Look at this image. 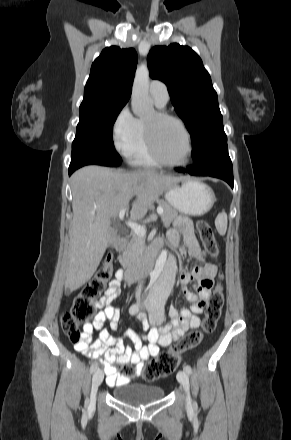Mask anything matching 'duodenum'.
Wrapping results in <instances>:
<instances>
[{
  "label": "duodenum",
  "mask_w": 291,
  "mask_h": 440,
  "mask_svg": "<svg viewBox=\"0 0 291 440\" xmlns=\"http://www.w3.org/2000/svg\"><path fill=\"white\" fill-rule=\"evenodd\" d=\"M115 238V249L119 248L120 241L122 240V236L120 234H116ZM157 261V251L155 249H149L144 253L142 260L137 262L136 264L128 265L125 269L124 277L127 282L131 283L140 278L148 275L154 268Z\"/></svg>",
  "instance_id": "1"
}]
</instances>
